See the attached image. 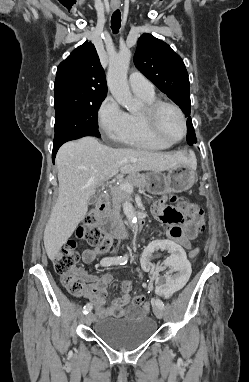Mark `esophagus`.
Instances as JSON below:
<instances>
[{
    "instance_id": "1",
    "label": "esophagus",
    "mask_w": 249,
    "mask_h": 382,
    "mask_svg": "<svg viewBox=\"0 0 249 382\" xmlns=\"http://www.w3.org/2000/svg\"><path fill=\"white\" fill-rule=\"evenodd\" d=\"M111 8H112L113 10L118 9V8H119V3H112V4H111Z\"/></svg>"
}]
</instances>
